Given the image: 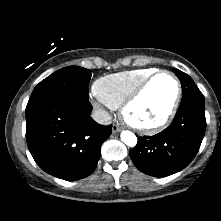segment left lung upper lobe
<instances>
[{
    "label": "left lung upper lobe",
    "instance_id": "left-lung-upper-lobe-1",
    "mask_svg": "<svg viewBox=\"0 0 221 221\" xmlns=\"http://www.w3.org/2000/svg\"><path fill=\"white\" fill-rule=\"evenodd\" d=\"M174 71L181 81L182 90H183V95L180 105H183L189 101L205 102L203 94L195 85L192 78L186 73L176 68L174 69Z\"/></svg>",
    "mask_w": 221,
    "mask_h": 221
}]
</instances>
